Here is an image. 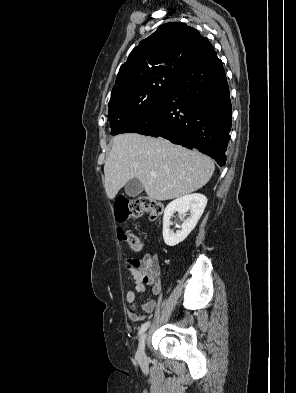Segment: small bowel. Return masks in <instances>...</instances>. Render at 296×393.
<instances>
[{"instance_id": "obj_1", "label": "small bowel", "mask_w": 296, "mask_h": 393, "mask_svg": "<svg viewBox=\"0 0 296 393\" xmlns=\"http://www.w3.org/2000/svg\"><path fill=\"white\" fill-rule=\"evenodd\" d=\"M127 268L134 280V289L126 294L128 304V317L133 322H141L146 314L152 313L156 308V301L149 300L143 303L141 314L136 312V294L145 291L147 285L152 286L154 294L161 293V285L155 282L160 272V266L156 254H144L141 258H130L127 260Z\"/></svg>"}]
</instances>
